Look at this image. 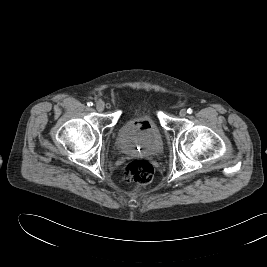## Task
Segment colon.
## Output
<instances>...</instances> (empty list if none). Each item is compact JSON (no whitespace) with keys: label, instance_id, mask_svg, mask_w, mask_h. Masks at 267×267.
<instances>
[{"label":"colon","instance_id":"colon-1","mask_svg":"<svg viewBox=\"0 0 267 267\" xmlns=\"http://www.w3.org/2000/svg\"><path fill=\"white\" fill-rule=\"evenodd\" d=\"M154 176L152 164L143 159L130 161L124 168L123 180L127 184L146 185Z\"/></svg>","mask_w":267,"mask_h":267}]
</instances>
